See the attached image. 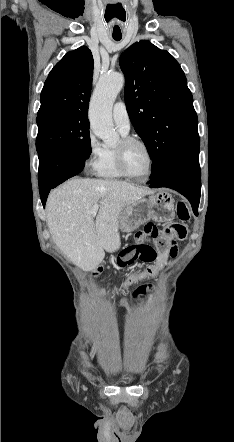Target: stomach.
Segmentation results:
<instances>
[{
	"mask_svg": "<svg viewBox=\"0 0 234 442\" xmlns=\"http://www.w3.org/2000/svg\"><path fill=\"white\" fill-rule=\"evenodd\" d=\"M174 217L172 195L166 190H159L151 194L148 199L142 198L125 206L120 213L118 229L122 232H132L150 220L170 222Z\"/></svg>",
	"mask_w": 234,
	"mask_h": 442,
	"instance_id": "1",
	"label": "stomach"
}]
</instances>
